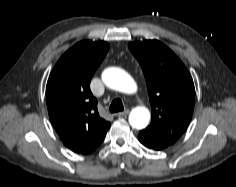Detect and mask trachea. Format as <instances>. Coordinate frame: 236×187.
I'll return each instance as SVG.
<instances>
[{
	"instance_id": "obj_1",
	"label": "trachea",
	"mask_w": 236,
	"mask_h": 187,
	"mask_svg": "<svg viewBox=\"0 0 236 187\" xmlns=\"http://www.w3.org/2000/svg\"><path fill=\"white\" fill-rule=\"evenodd\" d=\"M109 109H110L111 113L123 111L124 106H123V103H122L121 99H119V98L114 99L112 101Z\"/></svg>"
}]
</instances>
